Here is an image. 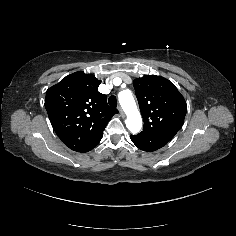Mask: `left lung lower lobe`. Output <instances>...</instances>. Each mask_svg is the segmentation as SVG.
Masks as SVG:
<instances>
[{"instance_id":"1","label":"left lung lower lobe","mask_w":236,"mask_h":236,"mask_svg":"<svg viewBox=\"0 0 236 236\" xmlns=\"http://www.w3.org/2000/svg\"><path fill=\"white\" fill-rule=\"evenodd\" d=\"M131 140L139 149L150 152L165 146L171 138L139 133L136 136L131 135Z\"/></svg>"}]
</instances>
